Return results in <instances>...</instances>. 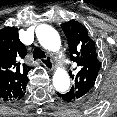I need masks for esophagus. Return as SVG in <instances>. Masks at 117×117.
Returning <instances> with one entry per match:
<instances>
[{
  "label": "esophagus",
  "mask_w": 117,
  "mask_h": 117,
  "mask_svg": "<svg viewBox=\"0 0 117 117\" xmlns=\"http://www.w3.org/2000/svg\"><path fill=\"white\" fill-rule=\"evenodd\" d=\"M41 63L49 70L54 69V64H53L52 59L50 57H46L45 59H42Z\"/></svg>",
  "instance_id": "1"
}]
</instances>
